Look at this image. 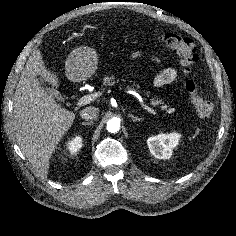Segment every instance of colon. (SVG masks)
<instances>
[{
  "label": "colon",
  "mask_w": 236,
  "mask_h": 236,
  "mask_svg": "<svg viewBox=\"0 0 236 236\" xmlns=\"http://www.w3.org/2000/svg\"><path fill=\"white\" fill-rule=\"evenodd\" d=\"M157 40L166 47L175 51L181 58V64L187 74H192L198 61L195 43L186 37L175 33L158 34ZM190 101L200 118H208L213 112V105L199 91L195 79L189 78L185 83Z\"/></svg>",
  "instance_id": "1"
}]
</instances>
